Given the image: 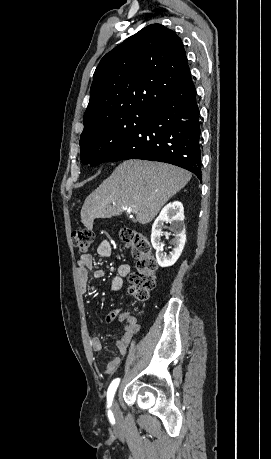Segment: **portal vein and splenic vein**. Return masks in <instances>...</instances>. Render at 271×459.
<instances>
[{
	"label": "portal vein and splenic vein",
	"instance_id": "18ae733b",
	"mask_svg": "<svg viewBox=\"0 0 271 459\" xmlns=\"http://www.w3.org/2000/svg\"><path fill=\"white\" fill-rule=\"evenodd\" d=\"M123 210H126V212H128V214H133L132 208H123Z\"/></svg>",
	"mask_w": 271,
	"mask_h": 459
}]
</instances>
